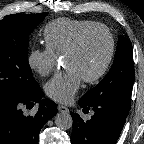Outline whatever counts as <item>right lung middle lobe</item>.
Returning <instances> with one entry per match:
<instances>
[{
	"label": "right lung middle lobe",
	"mask_w": 144,
	"mask_h": 144,
	"mask_svg": "<svg viewBox=\"0 0 144 144\" xmlns=\"http://www.w3.org/2000/svg\"><path fill=\"white\" fill-rule=\"evenodd\" d=\"M47 14H12L0 21V101L39 90L28 63V39Z\"/></svg>",
	"instance_id": "1"
}]
</instances>
